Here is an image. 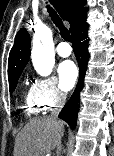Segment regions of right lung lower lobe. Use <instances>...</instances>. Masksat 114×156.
Masks as SVG:
<instances>
[{"instance_id":"right-lung-lower-lobe-1","label":"right lung lower lobe","mask_w":114,"mask_h":156,"mask_svg":"<svg viewBox=\"0 0 114 156\" xmlns=\"http://www.w3.org/2000/svg\"><path fill=\"white\" fill-rule=\"evenodd\" d=\"M87 28H88V25L84 22L79 28H77L72 33V37L74 39V45H73L74 52H75V55L79 64V68H80V77H79L78 85L73 95L65 104V106L63 107V109L61 110L59 114V118L66 121L72 129H74L76 126L79 104H80L79 96L83 87L84 75H85V72L87 69V63L89 60V53L87 50V47H88Z\"/></svg>"}]
</instances>
